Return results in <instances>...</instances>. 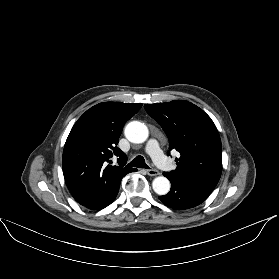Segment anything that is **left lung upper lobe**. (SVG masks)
I'll use <instances>...</instances> for the list:
<instances>
[{
  "label": "left lung upper lobe",
  "instance_id": "left-lung-upper-lobe-1",
  "mask_svg": "<svg viewBox=\"0 0 279 279\" xmlns=\"http://www.w3.org/2000/svg\"><path fill=\"white\" fill-rule=\"evenodd\" d=\"M147 113L161 125L169 139V152L176 150L177 168L167 177L209 194L222 172V146L212 119L199 107L181 100L147 104Z\"/></svg>",
  "mask_w": 279,
  "mask_h": 279
}]
</instances>
